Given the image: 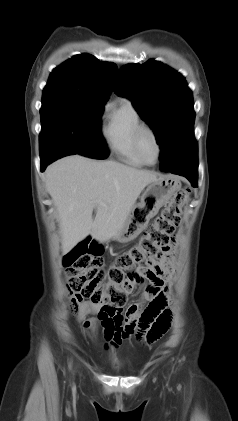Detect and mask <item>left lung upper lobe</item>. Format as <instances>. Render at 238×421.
<instances>
[{
    "label": "left lung upper lobe",
    "mask_w": 238,
    "mask_h": 421,
    "mask_svg": "<svg viewBox=\"0 0 238 421\" xmlns=\"http://www.w3.org/2000/svg\"><path fill=\"white\" fill-rule=\"evenodd\" d=\"M114 92L131 99L153 129L161 148V170L168 171L197 154L193 96L180 73L154 60L128 64L121 69Z\"/></svg>",
    "instance_id": "left-lung-upper-lobe-1"
}]
</instances>
